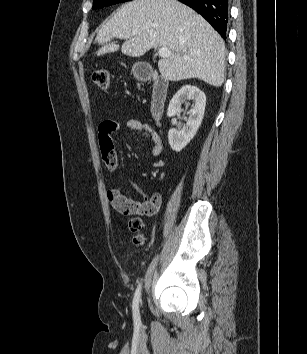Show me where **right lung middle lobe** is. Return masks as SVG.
<instances>
[{
	"label": "right lung middle lobe",
	"instance_id": "1",
	"mask_svg": "<svg viewBox=\"0 0 307 354\" xmlns=\"http://www.w3.org/2000/svg\"><path fill=\"white\" fill-rule=\"evenodd\" d=\"M131 0H94L92 9L102 8L104 6H110L120 2H126Z\"/></svg>",
	"mask_w": 307,
	"mask_h": 354
}]
</instances>
